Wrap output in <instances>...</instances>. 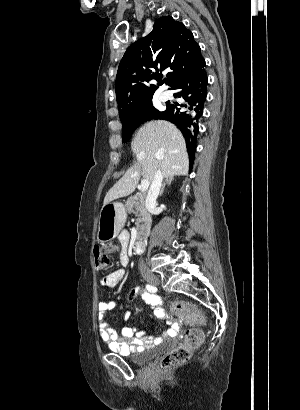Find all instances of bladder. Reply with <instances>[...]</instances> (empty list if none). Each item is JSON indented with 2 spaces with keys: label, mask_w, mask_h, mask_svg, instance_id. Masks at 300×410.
Here are the masks:
<instances>
[{
  "label": "bladder",
  "mask_w": 300,
  "mask_h": 410,
  "mask_svg": "<svg viewBox=\"0 0 300 410\" xmlns=\"http://www.w3.org/2000/svg\"><path fill=\"white\" fill-rule=\"evenodd\" d=\"M165 342H168V340H166ZM152 356L153 350L150 349L148 351H145L144 353L129 356V359L135 364H144L148 362L152 358Z\"/></svg>",
  "instance_id": "bladder-1"
}]
</instances>
